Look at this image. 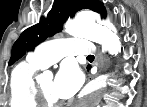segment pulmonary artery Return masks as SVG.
<instances>
[{"instance_id": "1", "label": "pulmonary artery", "mask_w": 147, "mask_h": 107, "mask_svg": "<svg viewBox=\"0 0 147 107\" xmlns=\"http://www.w3.org/2000/svg\"><path fill=\"white\" fill-rule=\"evenodd\" d=\"M93 52V43L88 40L62 38L40 45L30 54V60L43 67H48L58 62L65 55H90L93 54Z\"/></svg>"}]
</instances>
